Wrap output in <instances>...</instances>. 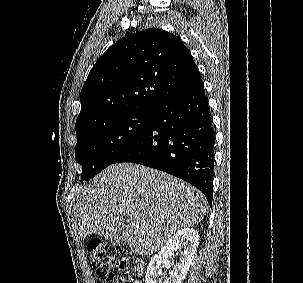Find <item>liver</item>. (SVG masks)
I'll return each instance as SVG.
<instances>
[{
    "instance_id": "obj_1",
    "label": "liver",
    "mask_w": 303,
    "mask_h": 283,
    "mask_svg": "<svg viewBox=\"0 0 303 283\" xmlns=\"http://www.w3.org/2000/svg\"><path fill=\"white\" fill-rule=\"evenodd\" d=\"M73 224L79 238L114 235L140 255L156 252L173 234L201 222L206 198L195 187L145 166L113 164L74 192Z\"/></svg>"
}]
</instances>
